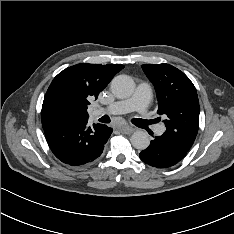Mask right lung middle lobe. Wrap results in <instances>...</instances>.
<instances>
[{"label":"right lung middle lobe","mask_w":234,"mask_h":234,"mask_svg":"<svg viewBox=\"0 0 234 234\" xmlns=\"http://www.w3.org/2000/svg\"><path fill=\"white\" fill-rule=\"evenodd\" d=\"M68 121L67 118L59 112L51 113L42 123L43 127Z\"/></svg>","instance_id":"obj_1"}]
</instances>
